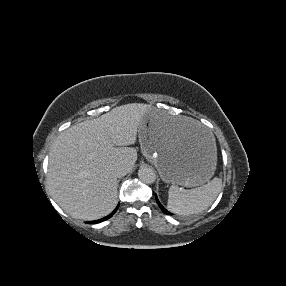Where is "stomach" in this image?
<instances>
[{
  "label": "stomach",
  "instance_id": "obj_1",
  "mask_svg": "<svg viewBox=\"0 0 286 286\" xmlns=\"http://www.w3.org/2000/svg\"><path fill=\"white\" fill-rule=\"evenodd\" d=\"M142 153L166 183L196 187L208 182L217 165V139L199 121L147 112L138 128Z\"/></svg>",
  "mask_w": 286,
  "mask_h": 286
}]
</instances>
